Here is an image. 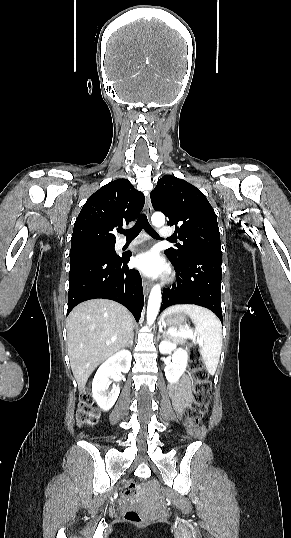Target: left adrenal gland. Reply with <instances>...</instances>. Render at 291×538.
Listing matches in <instances>:
<instances>
[{
	"label": "left adrenal gland",
	"instance_id": "1",
	"mask_svg": "<svg viewBox=\"0 0 291 538\" xmlns=\"http://www.w3.org/2000/svg\"><path fill=\"white\" fill-rule=\"evenodd\" d=\"M161 333H163V336H164V332L162 330V327H160V330H159ZM158 338H160V336H158Z\"/></svg>",
	"mask_w": 291,
	"mask_h": 538
}]
</instances>
